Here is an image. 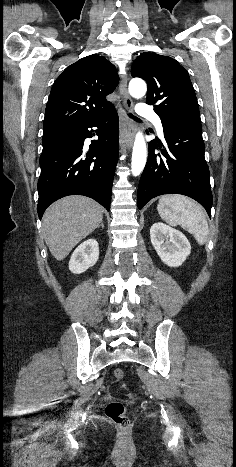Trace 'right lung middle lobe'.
Wrapping results in <instances>:
<instances>
[{
    "instance_id": "dd1d6c3e",
    "label": "right lung middle lobe",
    "mask_w": 236,
    "mask_h": 467,
    "mask_svg": "<svg viewBox=\"0 0 236 467\" xmlns=\"http://www.w3.org/2000/svg\"><path fill=\"white\" fill-rule=\"evenodd\" d=\"M48 135H51V134H47V135L44 134L43 136H48Z\"/></svg>"
}]
</instances>
